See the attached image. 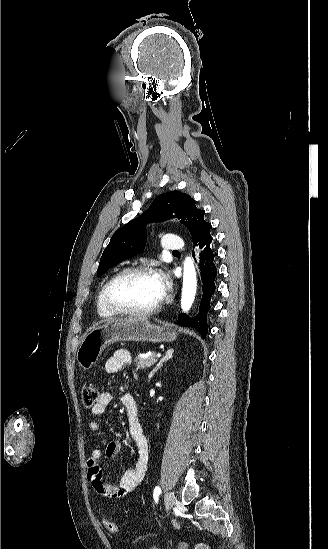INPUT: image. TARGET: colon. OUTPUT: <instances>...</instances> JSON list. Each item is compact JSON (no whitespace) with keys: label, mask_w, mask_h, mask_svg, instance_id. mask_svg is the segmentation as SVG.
<instances>
[{"label":"colon","mask_w":328,"mask_h":549,"mask_svg":"<svg viewBox=\"0 0 328 549\" xmlns=\"http://www.w3.org/2000/svg\"><path fill=\"white\" fill-rule=\"evenodd\" d=\"M99 396H100V392L98 387L95 384L87 383L86 385H84L82 389V402L86 408L93 407L96 404ZM104 527L106 528L107 531L111 533H116L118 531V527L116 523H114L109 519L104 520ZM201 548L207 549L204 545H201Z\"/></svg>","instance_id":"obj_1"}]
</instances>
